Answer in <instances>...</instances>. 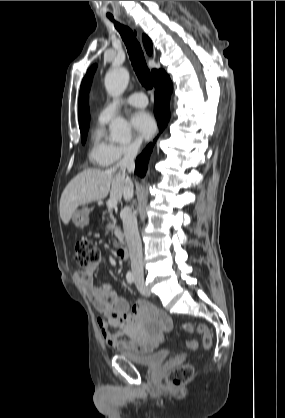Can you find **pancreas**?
<instances>
[{
  "instance_id": "cf45deb5",
  "label": "pancreas",
  "mask_w": 285,
  "mask_h": 418,
  "mask_svg": "<svg viewBox=\"0 0 285 418\" xmlns=\"http://www.w3.org/2000/svg\"><path fill=\"white\" fill-rule=\"evenodd\" d=\"M110 222L106 226V233H113L115 237L118 239V242L115 241L114 245L118 246L119 244H122L124 242V235L121 231V228L117 226V220L114 217V215L110 212Z\"/></svg>"
}]
</instances>
